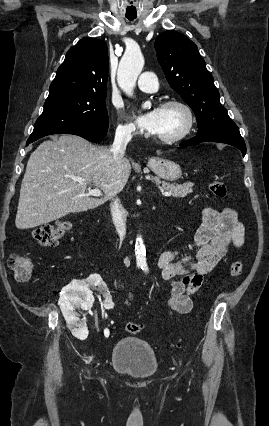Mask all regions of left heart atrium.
<instances>
[{
    "label": "left heart atrium",
    "mask_w": 269,
    "mask_h": 426,
    "mask_svg": "<svg viewBox=\"0 0 269 426\" xmlns=\"http://www.w3.org/2000/svg\"><path fill=\"white\" fill-rule=\"evenodd\" d=\"M160 108H154L145 113H139L136 115V123L141 129L146 131H152L158 121Z\"/></svg>",
    "instance_id": "obj_1"
}]
</instances>
